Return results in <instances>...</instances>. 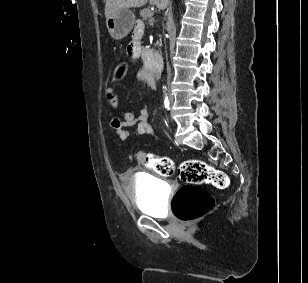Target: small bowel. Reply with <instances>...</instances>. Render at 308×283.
Masks as SVG:
<instances>
[{
	"instance_id": "obj_1",
	"label": "small bowel",
	"mask_w": 308,
	"mask_h": 283,
	"mask_svg": "<svg viewBox=\"0 0 308 283\" xmlns=\"http://www.w3.org/2000/svg\"><path fill=\"white\" fill-rule=\"evenodd\" d=\"M143 32V23L137 22L132 33V39L126 46V54L132 59H143L141 49ZM135 77L139 81L149 80L150 71L145 64L137 70ZM104 96L112 111L110 126L118 137L127 139L131 135L154 136V129L149 123V112L146 109H141L138 113L121 110L118 105V96L112 86H107L104 89ZM131 129L133 130L131 131Z\"/></svg>"
}]
</instances>
